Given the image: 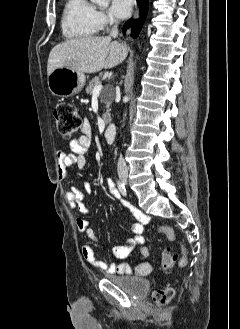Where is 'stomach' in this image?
<instances>
[{"label":"stomach","mask_w":240,"mask_h":329,"mask_svg":"<svg viewBox=\"0 0 240 329\" xmlns=\"http://www.w3.org/2000/svg\"><path fill=\"white\" fill-rule=\"evenodd\" d=\"M84 73L68 67H57L48 75V88L58 97H69L81 91L85 84Z\"/></svg>","instance_id":"1"}]
</instances>
